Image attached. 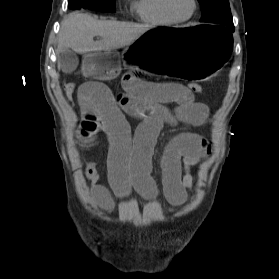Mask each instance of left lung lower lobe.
Here are the masks:
<instances>
[{
  "label": "left lung lower lobe",
  "mask_w": 279,
  "mask_h": 279,
  "mask_svg": "<svg viewBox=\"0 0 279 279\" xmlns=\"http://www.w3.org/2000/svg\"><path fill=\"white\" fill-rule=\"evenodd\" d=\"M226 26H228L233 32H234V25H233V21H229V22H224L222 23Z\"/></svg>",
  "instance_id": "0a47b994"
}]
</instances>
